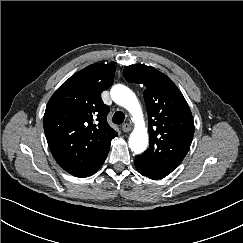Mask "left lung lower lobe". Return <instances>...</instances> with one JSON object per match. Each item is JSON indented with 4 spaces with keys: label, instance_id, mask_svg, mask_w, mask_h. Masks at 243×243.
<instances>
[{
    "label": "left lung lower lobe",
    "instance_id": "left-lung-lower-lobe-1",
    "mask_svg": "<svg viewBox=\"0 0 243 243\" xmlns=\"http://www.w3.org/2000/svg\"><path fill=\"white\" fill-rule=\"evenodd\" d=\"M135 166L141 175L149 177L150 179H161V178H164L165 176H167V174L143 167L136 161H135Z\"/></svg>",
    "mask_w": 243,
    "mask_h": 243
}]
</instances>
